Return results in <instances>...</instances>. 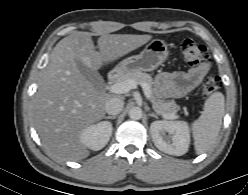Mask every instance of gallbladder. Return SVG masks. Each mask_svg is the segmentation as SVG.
<instances>
[{
    "mask_svg": "<svg viewBox=\"0 0 248 195\" xmlns=\"http://www.w3.org/2000/svg\"><path fill=\"white\" fill-rule=\"evenodd\" d=\"M76 64L82 76L85 77L96 90L101 91L104 85V80L99 72L89 69L80 60H76Z\"/></svg>",
    "mask_w": 248,
    "mask_h": 195,
    "instance_id": "1",
    "label": "gallbladder"
}]
</instances>
